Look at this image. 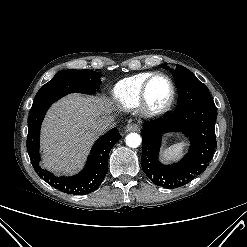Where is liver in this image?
<instances>
[{"label": "liver", "mask_w": 247, "mask_h": 247, "mask_svg": "<svg viewBox=\"0 0 247 247\" xmlns=\"http://www.w3.org/2000/svg\"><path fill=\"white\" fill-rule=\"evenodd\" d=\"M111 103L104 96L70 94L54 103L41 130L44 167L72 174L82 167L97 135L92 124L109 117Z\"/></svg>", "instance_id": "6515ba94"}]
</instances>
